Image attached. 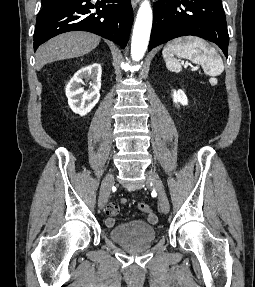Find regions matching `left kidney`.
<instances>
[{
  "label": "left kidney",
  "instance_id": "5707ae66",
  "mask_svg": "<svg viewBox=\"0 0 255 287\" xmlns=\"http://www.w3.org/2000/svg\"><path fill=\"white\" fill-rule=\"evenodd\" d=\"M173 102L174 104H181V106H188V100L183 90H173Z\"/></svg>",
  "mask_w": 255,
  "mask_h": 287
}]
</instances>
